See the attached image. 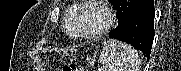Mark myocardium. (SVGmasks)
<instances>
[{
    "mask_svg": "<svg viewBox=\"0 0 181 71\" xmlns=\"http://www.w3.org/2000/svg\"><path fill=\"white\" fill-rule=\"evenodd\" d=\"M89 6L97 7L104 14L106 21H105V24L97 31L85 34L78 31V23H79V17H80L81 12L86 7H89ZM113 24H114V14L104 1L86 0V1H82L80 4H77L76 11L73 14L72 20L70 22V31L73 38L83 39V40H92L106 34L112 28Z\"/></svg>",
    "mask_w": 181,
    "mask_h": 71,
    "instance_id": "f54148a6",
    "label": "myocardium"
}]
</instances>
